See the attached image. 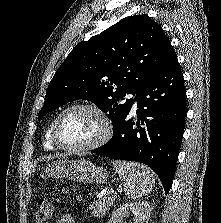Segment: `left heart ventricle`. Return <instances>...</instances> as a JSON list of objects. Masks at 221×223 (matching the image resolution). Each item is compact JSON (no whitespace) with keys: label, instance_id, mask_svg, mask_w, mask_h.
<instances>
[{"label":"left heart ventricle","instance_id":"1","mask_svg":"<svg viewBox=\"0 0 221 223\" xmlns=\"http://www.w3.org/2000/svg\"><path fill=\"white\" fill-rule=\"evenodd\" d=\"M103 131L101 119L91 111L72 110L58 127L59 140L69 146H84L96 140Z\"/></svg>","mask_w":221,"mask_h":223}]
</instances>
